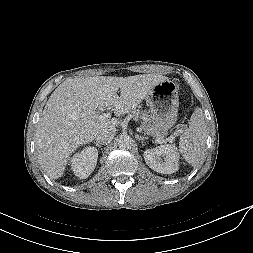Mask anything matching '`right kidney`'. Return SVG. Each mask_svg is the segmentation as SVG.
I'll return each instance as SVG.
<instances>
[{
    "instance_id": "right-kidney-1",
    "label": "right kidney",
    "mask_w": 253,
    "mask_h": 253,
    "mask_svg": "<svg viewBox=\"0 0 253 253\" xmlns=\"http://www.w3.org/2000/svg\"><path fill=\"white\" fill-rule=\"evenodd\" d=\"M98 151L94 147H85L70 159L71 169L80 179H86L95 169Z\"/></svg>"
}]
</instances>
